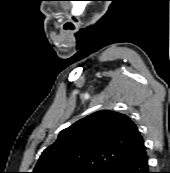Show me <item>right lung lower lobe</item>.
<instances>
[{
    "label": "right lung lower lobe",
    "instance_id": "obj_1",
    "mask_svg": "<svg viewBox=\"0 0 170 173\" xmlns=\"http://www.w3.org/2000/svg\"><path fill=\"white\" fill-rule=\"evenodd\" d=\"M103 173H150L146 147L111 164Z\"/></svg>",
    "mask_w": 170,
    "mask_h": 173
}]
</instances>
